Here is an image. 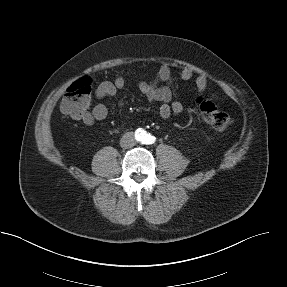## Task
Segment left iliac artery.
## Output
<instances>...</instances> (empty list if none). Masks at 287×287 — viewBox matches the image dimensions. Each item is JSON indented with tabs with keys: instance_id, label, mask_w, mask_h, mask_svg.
I'll return each mask as SVG.
<instances>
[{
	"instance_id": "left-iliac-artery-1",
	"label": "left iliac artery",
	"mask_w": 287,
	"mask_h": 287,
	"mask_svg": "<svg viewBox=\"0 0 287 287\" xmlns=\"http://www.w3.org/2000/svg\"><path fill=\"white\" fill-rule=\"evenodd\" d=\"M155 141H156V138L150 134H147L144 138L145 144H153V143H155Z\"/></svg>"
}]
</instances>
